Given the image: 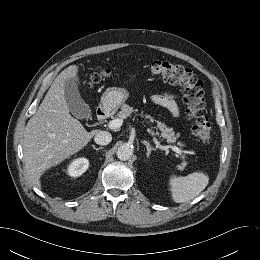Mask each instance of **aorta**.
Masks as SVG:
<instances>
[{
	"instance_id": "aorta-1",
	"label": "aorta",
	"mask_w": 260,
	"mask_h": 260,
	"mask_svg": "<svg viewBox=\"0 0 260 260\" xmlns=\"http://www.w3.org/2000/svg\"><path fill=\"white\" fill-rule=\"evenodd\" d=\"M132 154H133V147L128 144L121 145L116 152L118 159L122 161L128 160L132 156Z\"/></svg>"
}]
</instances>
